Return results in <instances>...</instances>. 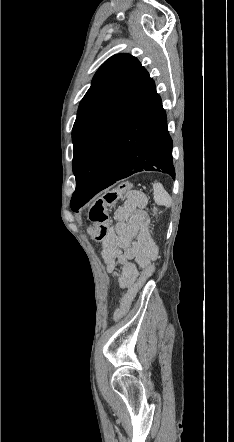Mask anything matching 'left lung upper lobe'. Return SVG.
Wrapping results in <instances>:
<instances>
[{"instance_id":"obj_1","label":"left lung upper lobe","mask_w":234,"mask_h":442,"mask_svg":"<svg viewBox=\"0 0 234 442\" xmlns=\"http://www.w3.org/2000/svg\"><path fill=\"white\" fill-rule=\"evenodd\" d=\"M143 70L135 57L117 54L106 60L94 75L91 87L80 102L72 130L76 179L88 142Z\"/></svg>"}]
</instances>
